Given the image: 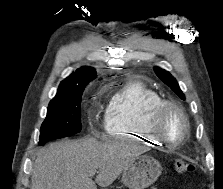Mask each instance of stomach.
<instances>
[{"instance_id":"stomach-1","label":"stomach","mask_w":223,"mask_h":189,"mask_svg":"<svg viewBox=\"0 0 223 189\" xmlns=\"http://www.w3.org/2000/svg\"><path fill=\"white\" fill-rule=\"evenodd\" d=\"M160 163L148 155H139L124 169L121 181L129 189H144L160 176Z\"/></svg>"}]
</instances>
